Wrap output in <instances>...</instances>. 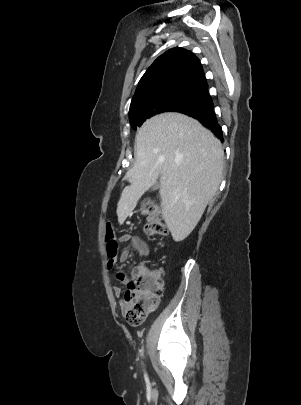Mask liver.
<instances>
[{
    "label": "liver",
    "mask_w": 301,
    "mask_h": 405,
    "mask_svg": "<svg viewBox=\"0 0 301 405\" xmlns=\"http://www.w3.org/2000/svg\"><path fill=\"white\" fill-rule=\"evenodd\" d=\"M130 183L117 205L123 224L141 196L160 177L164 221L175 241L196 227L222 180L224 151L221 142L200 122L180 113H163L146 120L135 139Z\"/></svg>",
    "instance_id": "obj_1"
}]
</instances>
